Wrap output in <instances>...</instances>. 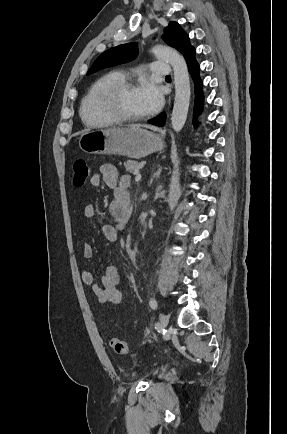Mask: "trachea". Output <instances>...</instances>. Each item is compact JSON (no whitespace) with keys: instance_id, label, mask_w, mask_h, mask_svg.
I'll return each mask as SVG.
<instances>
[{"instance_id":"trachea-1","label":"trachea","mask_w":287,"mask_h":434,"mask_svg":"<svg viewBox=\"0 0 287 434\" xmlns=\"http://www.w3.org/2000/svg\"><path fill=\"white\" fill-rule=\"evenodd\" d=\"M166 78H171V76H170V75H168V76H166Z\"/></svg>"}]
</instances>
